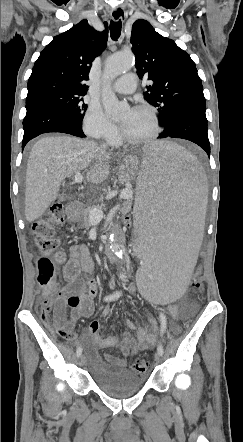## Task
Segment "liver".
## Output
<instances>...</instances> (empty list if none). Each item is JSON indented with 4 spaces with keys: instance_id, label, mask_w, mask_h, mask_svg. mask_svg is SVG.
<instances>
[{
    "instance_id": "6515ba94",
    "label": "liver",
    "mask_w": 243,
    "mask_h": 442,
    "mask_svg": "<svg viewBox=\"0 0 243 442\" xmlns=\"http://www.w3.org/2000/svg\"><path fill=\"white\" fill-rule=\"evenodd\" d=\"M111 155L93 141L72 136H45L29 155L26 170L25 216L41 217L58 196L61 183L74 172L88 169L87 180L101 183L109 175Z\"/></svg>"
}]
</instances>
